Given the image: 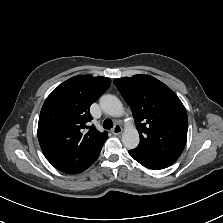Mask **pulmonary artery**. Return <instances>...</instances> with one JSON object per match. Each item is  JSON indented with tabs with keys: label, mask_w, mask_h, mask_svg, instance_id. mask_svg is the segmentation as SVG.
Listing matches in <instances>:
<instances>
[{
	"label": "pulmonary artery",
	"mask_w": 223,
	"mask_h": 223,
	"mask_svg": "<svg viewBox=\"0 0 223 223\" xmlns=\"http://www.w3.org/2000/svg\"><path fill=\"white\" fill-rule=\"evenodd\" d=\"M124 124H125L126 126H131V125L133 124V119H132L131 117H126V118L124 119Z\"/></svg>",
	"instance_id": "1"
}]
</instances>
